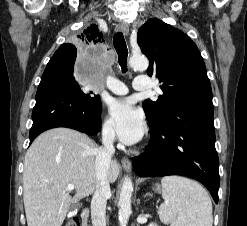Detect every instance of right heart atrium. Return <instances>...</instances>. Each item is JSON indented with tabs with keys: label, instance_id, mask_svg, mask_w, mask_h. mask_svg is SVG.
I'll return each instance as SVG.
<instances>
[{
	"label": "right heart atrium",
	"instance_id": "right-heart-atrium-1",
	"mask_svg": "<svg viewBox=\"0 0 247 226\" xmlns=\"http://www.w3.org/2000/svg\"><path fill=\"white\" fill-rule=\"evenodd\" d=\"M101 132L103 135V138L111 141L115 138V130L113 123L109 119H104L102 124H101Z\"/></svg>",
	"mask_w": 247,
	"mask_h": 226
}]
</instances>
